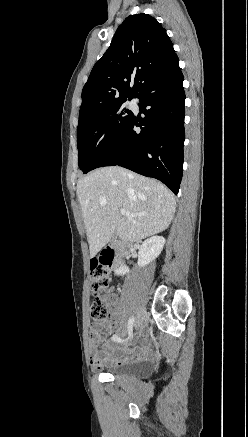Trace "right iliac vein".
<instances>
[{
  "instance_id": "1",
  "label": "right iliac vein",
  "mask_w": 248,
  "mask_h": 437,
  "mask_svg": "<svg viewBox=\"0 0 248 437\" xmlns=\"http://www.w3.org/2000/svg\"><path fill=\"white\" fill-rule=\"evenodd\" d=\"M144 317H145V309L141 308L137 314V317H136V320L134 323L135 328L139 327L142 324Z\"/></svg>"
}]
</instances>
